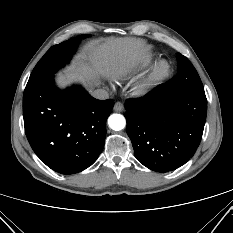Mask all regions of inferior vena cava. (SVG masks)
Masks as SVG:
<instances>
[{
    "mask_svg": "<svg viewBox=\"0 0 233 233\" xmlns=\"http://www.w3.org/2000/svg\"><path fill=\"white\" fill-rule=\"evenodd\" d=\"M93 97L100 100H105L109 98V94L105 89H97L92 93Z\"/></svg>",
    "mask_w": 233,
    "mask_h": 233,
    "instance_id": "obj_1",
    "label": "inferior vena cava"
}]
</instances>
